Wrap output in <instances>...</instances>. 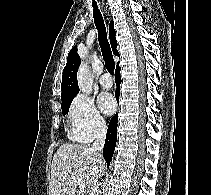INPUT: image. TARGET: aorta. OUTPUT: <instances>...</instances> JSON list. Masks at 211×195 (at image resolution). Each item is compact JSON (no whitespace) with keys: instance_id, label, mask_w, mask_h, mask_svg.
Listing matches in <instances>:
<instances>
[{"instance_id":"aorta-1","label":"aorta","mask_w":211,"mask_h":195,"mask_svg":"<svg viewBox=\"0 0 211 195\" xmlns=\"http://www.w3.org/2000/svg\"><path fill=\"white\" fill-rule=\"evenodd\" d=\"M77 79L80 90L89 94L92 91L93 79L87 62H83L79 67Z\"/></svg>"}]
</instances>
